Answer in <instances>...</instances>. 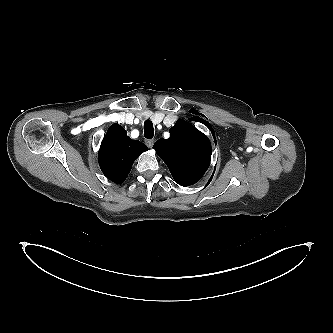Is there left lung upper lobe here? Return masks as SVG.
Listing matches in <instances>:
<instances>
[{"label": "left lung upper lobe", "mask_w": 333, "mask_h": 333, "mask_svg": "<svg viewBox=\"0 0 333 333\" xmlns=\"http://www.w3.org/2000/svg\"><path fill=\"white\" fill-rule=\"evenodd\" d=\"M153 148L181 186L198 182L210 165L209 139L181 119L170 129V138L159 139Z\"/></svg>", "instance_id": "5c2ea615"}]
</instances>
